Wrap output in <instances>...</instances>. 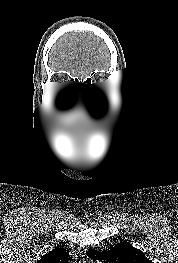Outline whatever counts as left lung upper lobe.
<instances>
[{"mask_svg": "<svg viewBox=\"0 0 178 263\" xmlns=\"http://www.w3.org/2000/svg\"><path fill=\"white\" fill-rule=\"evenodd\" d=\"M87 255L93 260L105 263H152L141 250H137L127 241L116 244L108 251L89 249Z\"/></svg>", "mask_w": 178, "mask_h": 263, "instance_id": "left-lung-upper-lobe-1", "label": "left lung upper lobe"}]
</instances>
